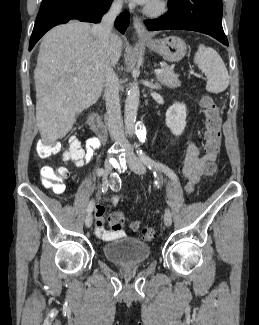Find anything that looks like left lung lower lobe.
<instances>
[{
    "label": "left lung lower lobe",
    "mask_w": 259,
    "mask_h": 325,
    "mask_svg": "<svg viewBox=\"0 0 259 325\" xmlns=\"http://www.w3.org/2000/svg\"><path fill=\"white\" fill-rule=\"evenodd\" d=\"M168 12L146 20L149 30H191L208 34L228 46L222 27L221 0H169Z\"/></svg>",
    "instance_id": "1"
}]
</instances>
